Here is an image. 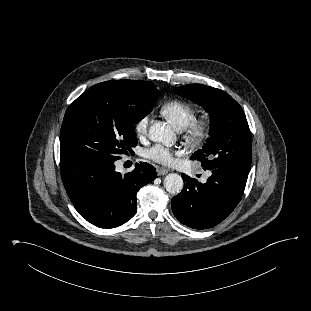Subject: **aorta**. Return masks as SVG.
Listing matches in <instances>:
<instances>
[{
	"instance_id": "obj_1",
	"label": "aorta",
	"mask_w": 311,
	"mask_h": 311,
	"mask_svg": "<svg viewBox=\"0 0 311 311\" xmlns=\"http://www.w3.org/2000/svg\"><path fill=\"white\" fill-rule=\"evenodd\" d=\"M149 138L153 142L170 145L175 141L176 136L170 125L163 122H155L149 128ZM164 187L167 192L178 194L183 189V179L176 173L168 174L164 178Z\"/></svg>"
}]
</instances>
